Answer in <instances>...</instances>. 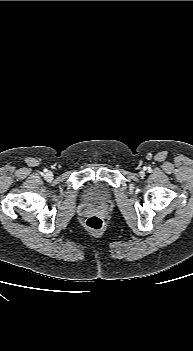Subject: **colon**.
<instances>
[{
	"label": "colon",
	"instance_id": "obj_1",
	"mask_svg": "<svg viewBox=\"0 0 193 351\" xmlns=\"http://www.w3.org/2000/svg\"><path fill=\"white\" fill-rule=\"evenodd\" d=\"M104 226L103 219L100 216L92 215L85 221V227L91 231L98 232Z\"/></svg>",
	"mask_w": 193,
	"mask_h": 351
}]
</instances>
